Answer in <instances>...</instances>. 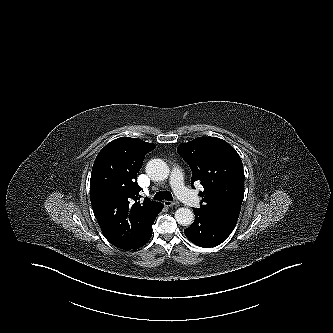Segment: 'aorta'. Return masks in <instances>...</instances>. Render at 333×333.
<instances>
[{
  "instance_id": "1",
  "label": "aorta",
  "mask_w": 333,
  "mask_h": 333,
  "mask_svg": "<svg viewBox=\"0 0 333 333\" xmlns=\"http://www.w3.org/2000/svg\"><path fill=\"white\" fill-rule=\"evenodd\" d=\"M147 174L156 181L168 178L170 169L162 159H152L146 165ZM175 219L182 226H189L194 221V213L188 208H178L175 212Z\"/></svg>"
}]
</instances>
